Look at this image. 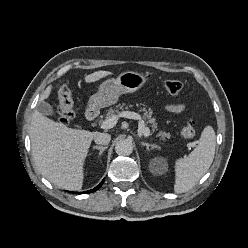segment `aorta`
<instances>
[{"label": "aorta", "instance_id": "obj_1", "mask_svg": "<svg viewBox=\"0 0 248 248\" xmlns=\"http://www.w3.org/2000/svg\"><path fill=\"white\" fill-rule=\"evenodd\" d=\"M132 151L133 145L129 140H120L115 145V152L120 156H128Z\"/></svg>", "mask_w": 248, "mask_h": 248}]
</instances>
